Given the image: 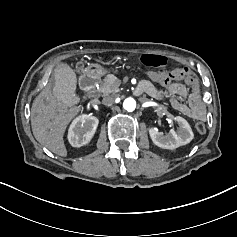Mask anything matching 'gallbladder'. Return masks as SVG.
I'll return each instance as SVG.
<instances>
[{
	"label": "gallbladder",
	"instance_id": "obj_1",
	"mask_svg": "<svg viewBox=\"0 0 237 237\" xmlns=\"http://www.w3.org/2000/svg\"><path fill=\"white\" fill-rule=\"evenodd\" d=\"M56 79L55 95L56 98L65 104H72L75 99L76 80L70 65H61L54 71Z\"/></svg>",
	"mask_w": 237,
	"mask_h": 237
}]
</instances>
